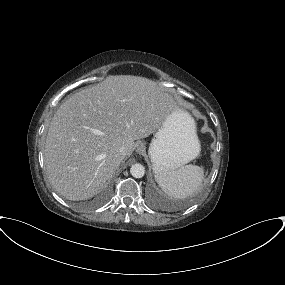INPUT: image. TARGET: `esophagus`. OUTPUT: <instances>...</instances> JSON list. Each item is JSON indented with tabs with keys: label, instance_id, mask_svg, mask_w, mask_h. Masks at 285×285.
<instances>
[{
	"label": "esophagus",
	"instance_id": "34e87169",
	"mask_svg": "<svg viewBox=\"0 0 285 285\" xmlns=\"http://www.w3.org/2000/svg\"><path fill=\"white\" fill-rule=\"evenodd\" d=\"M136 151L139 154H143L145 152V145L143 143L138 144Z\"/></svg>",
	"mask_w": 285,
	"mask_h": 285
}]
</instances>
